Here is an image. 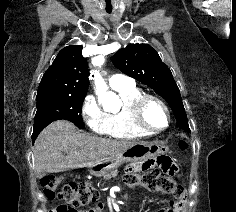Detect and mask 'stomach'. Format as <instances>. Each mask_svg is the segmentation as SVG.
<instances>
[{
	"instance_id": "stomach-1",
	"label": "stomach",
	"mask_w": 236,
	"mask_h": 212,
	"mask_svg": "<svg viewBox=\"0 0 236 212\" xmlns=\"http://www.w3.org/2000/svg\"><path fill=\"white\" fill-rule=\"evenodd\" d=\"M167 147L159 142H140L128 148L124 152L107 157L89 167L90 173L95 176H101L107 172L118 168L125 162L145 161L163 154Z\"/></svg>"
}]
</instances>
